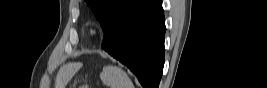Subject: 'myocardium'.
<instances>
[{
  "instance_id": "f54148a6",
  "label": "myocardium",
  "mask_w": 267,
  "mask_h": 88,
  "mask_svg": "<svg viewBox=\"0 0 267 88\" xmlns=\"http://www.w3.org/2000/svg\"><path fill=\"white\" fill-rule=\"evenodd\" d=\"M88 33H89V35H90L91 37H95L96 34H97V31H96L95 28L91 27V28L89 29Z\"/></svg>"
}]
</instances>
